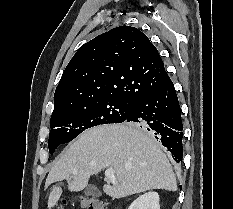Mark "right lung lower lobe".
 Here are the masks:
<instances>
[{
    "label": "right lung lower lobe",
    "instance_id": "98d812e1",
    "mask_svg": "<svg viewBox=\"0 0 233 209\" xmlns=\"http://www.w3.org/2000/svg\"><path fill=\"white\" fill-rule=\"evenodd\" d=\"M123 122L147 129L173 155L176 162L183 156L181 110L172 81L152 93L135 99Z\"/></svg>",
    "mask_w": 233,
    "mask_h": 209
}]
</instances>
